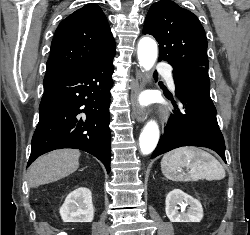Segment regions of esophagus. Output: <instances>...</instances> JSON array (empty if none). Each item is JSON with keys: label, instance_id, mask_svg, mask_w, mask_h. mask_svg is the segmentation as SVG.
<instances>
[{"label": "esophagus", "instance_id": "1", "mask_svg": "<svg viewBox=\"0 0 250 235\" xmlns=\"http://www.w3.org/2000/svg\"><path fill=\"white\" fill-rule=\"evenodd\" d=\"M144 86H145L144 76L141 73V71L137 69L135 81L131 91V101H132V114L133 117L138 122H143L146 119V112L142 109L137 100L138 95L144 89Z\"/></svg>", "mask_w": 250, "mask_h": 235}]
</instances>
